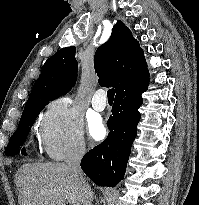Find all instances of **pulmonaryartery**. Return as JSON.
I'll use <instances>...</instances> for the list:
<instances>
[{
  "instance_id": "e3ab8cb5",
  "label": "pulmonary artery",
  "mask_w": 199,
  "mask_h": 205,
  "mask_svg": "<svg viewBox=\"0 0 199 205\" xmlns=\"http://www.w3.org/2000/svg\"><path fill=\"white\" fill-rule=\"evenodd\" d=\"M92 107L96 111H103L107 106V99L105 97L104 91L102 89H98L92 97Z\"/></svg>"
}]
</instances>
